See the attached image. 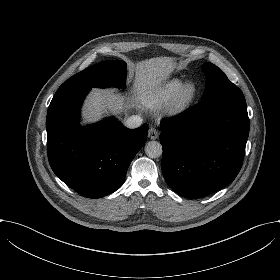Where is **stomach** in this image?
I'll return each mask as SVG.
<instances>
[{
    "label": "stomach",
    "mask_w": 280,
    "mask_h": 280,
    "mask_svg": "<svg viewBox=\"0 0 280 280\" xmlns=\"http://www.w3.org/2000/svg\"><path fill=\"white\" fill-rule=\"evenodd\" d=\"M172 66L177 70H183L185 68V60L182 57H170Z\"/></svg>",
    "instance_id": "stomach-1"
}]
</instances>
